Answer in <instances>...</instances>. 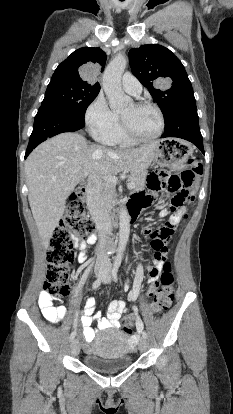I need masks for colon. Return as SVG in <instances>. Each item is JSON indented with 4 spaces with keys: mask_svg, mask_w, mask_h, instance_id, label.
Returning a JSON list of instances; mask_svg holds the SVG:
<instances>
[{
    "mask_svg": "<svg viewBox=\"0 0 233 414\" xmlns=\"http://www.w3.org/2000/svg\"><path fill=\"white\" fill-rule=\"evenodd\" d=\"M203 174V166L199 161L190 160L189 168L180 175L166 171H156L147 178V188L151 192L165 191L173 195L172 208L178 209L194 200V190L198 179ZM86 196L84 187H77L70 196L68 207L55 229L48 248V269L44 285L45 291L53 297H64L68 294V281L72 275V263L74 259V239L69 230L76 237L89 234L93 225L85 216L83 200ZM172 227H164L153 234L152 247L155 260H162V271L152 268L153 274H158L159 280L152 287L151 309L159 314L167 310L174 298V275L169 262L165 260L167 243L171 241ZM121 325L126 333H131L134 326V317L126 316L121 320Z\"/></svg>",
    "mask_w": 233,
    "mask_h": 414,
    "instance_id": "5ec220e1",
    "label": "colon"
}]
</instances>
